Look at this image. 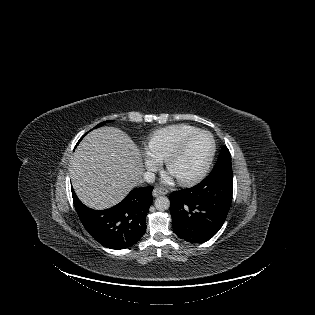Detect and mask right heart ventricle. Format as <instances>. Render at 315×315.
<instances>
[{
  "instance_id": "obj_1",
  "label": "right heart ventricle",
  "mask_w": 315,
  "mask_h": 315,
  "mask_svg": "<svg viewBox=\"0 0 315 315\" xmlns=\"http://www.w3.org/2000/svg\"><path fill=\"white\" fill-rule=\"evenodd\" d=\"M198 130L187 124H176L155 130L147 141V151L157 160H165L177 144L188 134Z\"/></svg>"
}]
</instances>
